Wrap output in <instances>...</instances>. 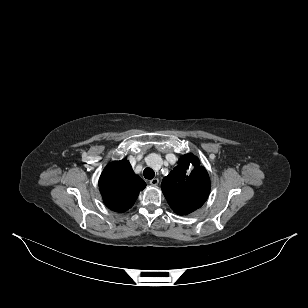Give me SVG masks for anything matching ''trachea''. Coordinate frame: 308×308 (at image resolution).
<instances>
[{"instance_id":"3493384b","label":"trachea","mask_w":308,"mask_h":308,"mask_svg":"<svg viewBox=\"0 0 308 308\" xmlns=\"http://www.w3.org/2000/svg\"><path fill=\"white\" fill-rule=\"evenodd\" d=\"M143 175L146 179H153L155 176V172L151 168H145L143 171Z\"/></svg>"}]
</instances>
